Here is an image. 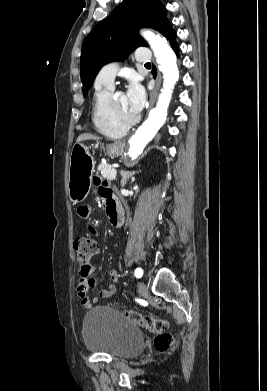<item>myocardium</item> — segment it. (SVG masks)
<instances>
[{"instance_id": "f54148a6", "label": "myocardium", "mask_w": 267, "mask_h": 391, "mask_svg": "<svg viewBox=\"0 0 267 391\" xmlns=\"http://www.w3.org/2000/svg\"><path fill=\"white\" fill-rule=\"evenodd\" d=\"M117 94H121V92H117L115 94H111L109 99H108V102H107V107H108V112L110 114V117L112 118V120L119 126L123 127V128H126L128 129L129 127L133 126L138 120H139V117L138 116H135L131 119H123L121 118L116 110H115V107H114V104H113V99L115 97V95Z\"/></svg>"}]
</instances>
